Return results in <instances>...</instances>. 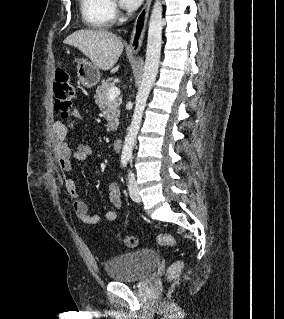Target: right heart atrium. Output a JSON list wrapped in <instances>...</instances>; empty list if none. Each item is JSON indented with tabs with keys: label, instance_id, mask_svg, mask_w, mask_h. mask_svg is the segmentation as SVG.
Masks as SVG:
<instances>
[{
	"label": "right heart atrium",
	"instance_id": "d8ad5b80",
	"mask_svg": "<svg viewBox=\"0 0 284 319\" xmlns=\"http://www.w3.org/2000/svg\"><path fill=\"white\" fill-rule=\"evenodd\" d=\"M110 11L113 15V17L116 15L117 13V9H116V5L113 2H110Z\"/></svg>",
	"mask_w": 284,
	"mask_h": 319
}]
</instances>
